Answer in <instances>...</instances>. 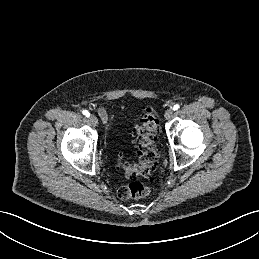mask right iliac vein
I'll return each instance as SVG.
<instances>
[{"label": "right iliac vein", "mask_w": 259, "mask_h": 259, "mask_svg": "<svg viewBox=\"0 0 259 259\" xmlns=\"http://www.w3.org/2000/svg\"><path fill=\"white\" fill-rule=\"evenodd\" d=\"M89 121L91 122V124H92L93 126H97V125H98V119H97V117L94 116V115H91V116L89 117Z\"/></svg>", "instance_id": "1"}]
</instances>
